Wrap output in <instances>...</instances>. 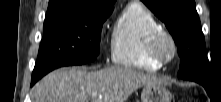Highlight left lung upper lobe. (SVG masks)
Masks as SVG:
<instances>
[{"instance_id":"obj_1","label":"left lung upper lobe","mask_w":221,"mask_h":102,"mask_svg":"<svg viewBox=\"0 0 221 102\" xmlns=\"http://www.w3.org/2000/svg\"><path fill=\"white\" fill-rule=\"evenodd\" d=\"M165 23L180 56L178 77L200 84L209 81V61L194 0H142Z\"/></svg>"}]
</instances>
